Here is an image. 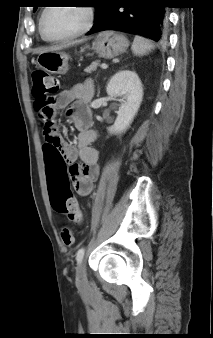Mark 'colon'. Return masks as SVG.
<instances>
[{
	"label": "colon",
	"instance_id": "5ec220e1",
	"mask_svg": "<svg viewBox=\"0 0 213 338\" xmlns=\"http://www.w3.org/2000/svg\"><path fill=\"white\" fill-rule=\"evenodd\" d=\"M58 89V80L46 71L37 69L32 72V95L36 102L38 116L44 124L43 137L46 145H58L61 142V138L52 133L54 112L52 96L57 93ZM50 198L56 212L67 214L75 222L82 221L83 216L78 202L64 185L58 184L53 190H50ZM60 239L64 245H72L74 242L73 231L67 227L62 228Z\"/></svg>",
	"mask_w": 213,
	"mask_h": 338
}]
</instances>
